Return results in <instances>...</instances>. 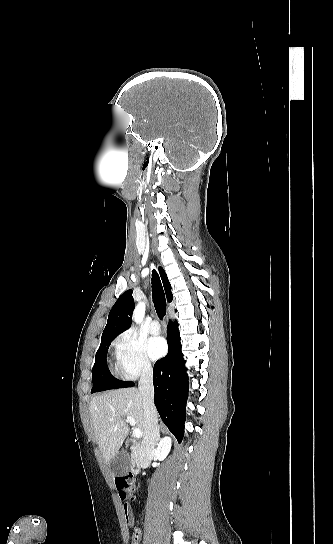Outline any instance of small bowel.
<instances>
[{"instance_id":"small-bowel-1","label":"small bowel","mask_w":333,"mask_h":544,"mask_svg":"<svg viewBox=\"0 0 333 544\" xmlns=\"http://www.w3.org/2000/svg\"><path fill=\"white\" fill-rule=\"evenodd\" d=\"M124 508H125L127 522H128L129 525H132L133 524L132 512L126 505L124 506Z\"/></svg>"}]
</instances>
